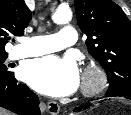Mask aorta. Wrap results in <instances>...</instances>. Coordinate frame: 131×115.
I'll return each instance as SVG.
<instances>
[{
	"mask_svg": "<svg viewBox=\"0 0 131 115\" xmlns=\"http://www.w3.org/2000/svg\"><path fill=\"white\" fill-rule=\"evenodd\" d=\"M72 18V12L70 9L67 8H59L53 14L52 19L56 24H63L67 23Z\"/></svg>",
	"mask_w": 131,
	"mask_h": 115,
	"instance_id": "obj_1",
	"label": "aorta"
}]
</instances>
